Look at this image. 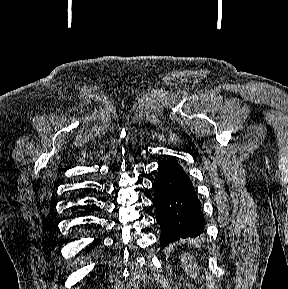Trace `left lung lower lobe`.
Wrapping results in <instances>:
<instances>
[{
    "label": "left lung lower lobe",
    "mask_w": 288,
    "mask_h": 289,
    "mask_svg": "<svg viewBox=\"0 0 288 289\" xmlns=\"http://www.w3.org/2000/svg\"><path fill=\"white\" fill-rule=\"evenodd\" d=\"M153 188L156 190L153 204L161 228L162 249L169 243L196 237L203 232L200 201L190 178L177 162L167 159L159 165Z\"/></svg>",
    "instance_id": "left-lung-lower-lobe-1"
}]
</instances>
